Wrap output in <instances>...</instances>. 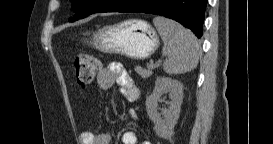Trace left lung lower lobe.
<instances>
[{"label": "left lung lower lobe", "mask_w": 273, "mask_h": 144, "mask_svg": "<svg viewBox=\"0 0 273 144\" xmlns=\"http://www.w3.org/2000/svg\"><path fill=\"white\" fill-rule=\"evenodd\" d=\"M100 4L94 13L144 12L161 15L181 23L200 38L207 0H102Z\"/></svg>", "instance_id": "0a47b994"}]
</instances>
